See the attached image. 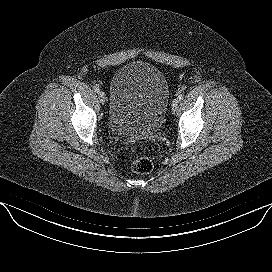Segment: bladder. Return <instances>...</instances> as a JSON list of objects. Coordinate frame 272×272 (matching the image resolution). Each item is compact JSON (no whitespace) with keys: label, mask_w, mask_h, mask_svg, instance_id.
<instances>
[{"label":"bladder","mask_w":272,"mask_h":272,"mask_svg":"<svg viewBox=\"0 0 272 272\" xmlns=\"http://www.w3.org/2000/svg\"><path fill=\"white\" fill-rule=\"evenodd\" d=\"M170 99L164 73L142 61L123 65L110 83L108 128L118 136L147 138L162 126Z\"/></svg>","instance_id":"obj_1"}]
</instances>
